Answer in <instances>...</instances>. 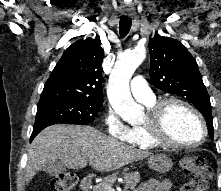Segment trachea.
I'll return each instance as SVG.
<instances>
[{
    "label": "trachea",
    "instance_id": "3493384b",
    "mask_svg": "<svg viewBox=\"0 0 221 191\" xmlns=\"http://www.w3.org/2000/svg\"><path fill=\"white\" fill-rule=\"evenodd\" d=\"M132 21L130 18H121L119 22V32L121 37H125L131 28Z\"/></svg>",
    "mask_w": 221,
    "mask_h": 191
}]
</instances>
